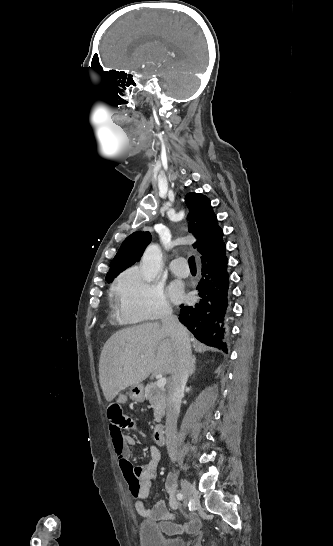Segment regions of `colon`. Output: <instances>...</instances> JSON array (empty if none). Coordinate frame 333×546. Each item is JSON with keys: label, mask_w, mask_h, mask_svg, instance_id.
Returning <instances> with one entry per match:
<instances>
[{"label": "colon", "mask_w": 333, "mask_h": 546, "mask_svg": "<svg viewBox=\"0 0 333 546\" xmlns=\"http://www.w3.org/2000/svg\"><path fill=\"white\" fill-rule=\"evenodd\" d=\"M108 418H123L124 408L121 400H110L106 407Z\"/></svg>", "instance_id": "1"}]
</instances>
